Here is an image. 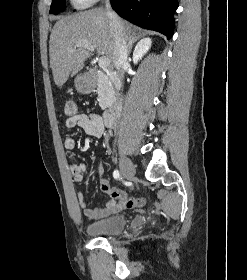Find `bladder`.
<instances>
[{
    "label": "bladder",
    "mask_w": 247,
    "mask_h": 280,
    "mask_svg": "<svg viewBox=\"0 0 247 280\" xmlns=\"http://www.w3.org/2000/svg\"><path fill=\"white\" fill-rule=\"evenodd\" d=\"M127 220L123 215H116L89 223L86 231L89 235L102 237L119 234L125 228Z\"/></svg>",
    "instance_id": "1"
}]
</instances>
